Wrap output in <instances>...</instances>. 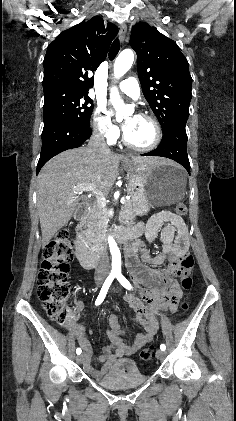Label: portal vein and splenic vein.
Listing matches in <instances>:
<instances>
[{"instance_id": "1", "label": "portal vein and splenic vein", "mask_w": 236, "mask_h": 421, "mask_svg": "<svg viewBox=\"0 0 236 421\" xmlns=\"http://www.w3.org/2000/svg\"><path fill=\"white\" fill-rule=\"evenodd\" d=\"M73 190H91V192H94L96 194L100 204H106V198L103 196V192H100V190H96L95 186L93 184H90V182H85V184H76V186H73ZM126 198L122 196L120 202L124 204Z\"/></svg>"}]
</instances>
